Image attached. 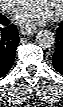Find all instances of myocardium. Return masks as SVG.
<instances>
[{
  "label": "myocardium",
  "mask_w": 63,
  "mask_h": 107,
  "mask_svg": "<svg viewBox=\"0 0 63 107\" xmlns=\"http://www.w3.org/2000/svg\"><path fill=\"white\" fill-rule=\"evenodd\" d=\"M62 12H63V1L61 0L60 7H59L58 11L53 15V18H55V19L59 18L61 16Z\"/></svg>",
  "instance_id": "f54148a6"
}]
</instances>
